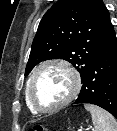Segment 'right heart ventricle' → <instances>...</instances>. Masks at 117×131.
Instances as JSON below:
<instances>
[{
  "label": "right heart ventricle",
  "instance_id": "e07e8e85",
  "mask_svg": "<svg viewBox=\"0 0 117 131\" xmlns=\"http://www.w3.org/2000/svg\"><path fill=\"white\" fill-rule=\"evenodd\" d=\"M25 103H26V106L27 108L29 109V111L32 113V114H36L37 112L34 110V108L32 107L29 99H28V95H27V85H26V89H25Z\"/></svg>",
  "mask_w": 117,
  "mask_h": 131
}]
</instances>
